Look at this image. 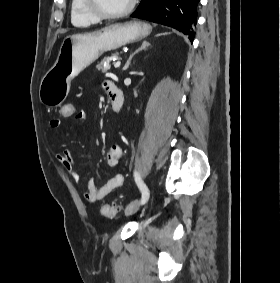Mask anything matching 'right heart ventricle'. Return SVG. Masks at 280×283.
Returning <instances> with one entry per match:
<instances>
[{"label":"right heart ventricle","mask_w":280,"mask_h":283,"mask_svg":"<svg viewBox=\"0 0 280 283\" xmlns=\"http://www.w3.org/2000/svg\"><path fill=\"white\" fill-rule=\"evenodd\" d=\"M71 22L76 27H87L99 22V19L90 14L84 5V0H71Z\"/></svg>","instance_id":"right-heart-ventricle-1"}]
</instances>
